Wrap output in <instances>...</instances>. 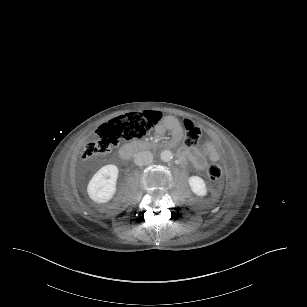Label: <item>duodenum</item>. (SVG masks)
<instances>
[{
    "label": "duodenum",
    "instance_id": "410a0bca",
    "mask_svg": "<svg viewBox=\"0 0 307 307\" xmlns=\"http://www.w3.org/2000/svg\"><path fill=\"white\" fill-rule=\"evenodd\" d=\"M158 145H160V143H158L156 141L141 140V141L129 142V143L125 144L124 146H122L120 148L119 156L121 158L125 159L129 155H131L132 153H135V152H138V151H143V150H146V149H152V148H154ZM169 146H171L170 142H169Z\"/></svg>",
    "mask_w": 307,
    "mask_h": 307
}]
</instances>
